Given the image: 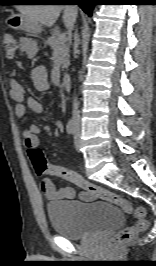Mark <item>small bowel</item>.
<instances>
[{"instance_id":"c3829d8e","label":"small bowel","mask_w":156,"mask_h":266,"mask_svg":"<svg viewBox=\"0 0 156 266\" xmlns=\"http://www.w3.org/2000/svg\"><path fill=\"white\" fill-rule=\"evenodd\" d=\"M19 48L20 51L25 53L28 57H34L38 51L36 42L29 37H22L20 39ZM32 78L37 90L44 91L49 88L48 72L45 67H36L33 70ZM9 95L15 102V115L17 118H22L25 115L27 108L35 113L43 112L42 104L37 99L27 96L22 85L15 79H12L9 83ZM55 126L59 131L62 129L59 122H55ZM40 133V127L34 124L30 125L23 131L24 145L28 152L31 149L38 148V136ZM41 187L45 196L50 200L73 199L75 197V190L72 187L57 189L54 181L50 178H45ZM80 198L86 202H90L95 199L94 196L85 191L80 193Z\"/></svg>"}]
</instances>
